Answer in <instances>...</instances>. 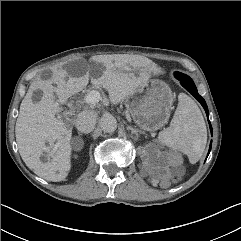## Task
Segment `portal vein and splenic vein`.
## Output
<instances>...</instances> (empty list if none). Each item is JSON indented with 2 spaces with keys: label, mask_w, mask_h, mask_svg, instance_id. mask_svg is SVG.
Here are the masks:
<instances>
[{
  "label": "portal vein and splenic vein",
  "mask_w": 241,
  "mask_h": 241,
  "mask_svg": "<svg viewBox=\"0 0 241 241\" xmlns=\"http://www.w3.org/2000/svg\"><path fill=\"white\" fill-rule=\"evenodd\" d=\"M84 100L87 104H95L99 102L100 94L97 91H91L85 96Z\"/></svg>",
  "instance_id": "obj_1"
}]
</instances>
